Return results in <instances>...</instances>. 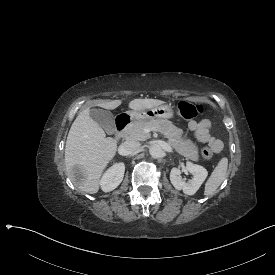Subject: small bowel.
<instances>
[{
	"label": "small bowel",
	"instance_id": "obj_1",
	"mask_svg": "<svg viewBox=\"0 0 275 275\" xmlns=\"http://www.w3.org/2000/svg\"><path fill=\"white\" fill-rule=\"evenodd\" d=\"M210 127L211 124L208 120H202L198 123L192 121L187 126L194 133L198 142L209 145L215 152H220L223 148V143L210 133Z\"/></svg>",
	"mask_w": 275,
	"mask_h": 275
}]
</instances>
